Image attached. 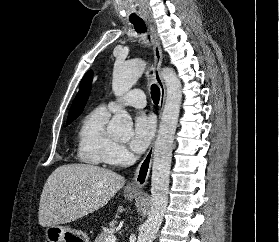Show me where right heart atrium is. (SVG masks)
<instances>
[{
    "label": "right heart atrium",
    "instance_id": "right-heart-atrium-1",
    "mask_svg": "<svg viewBox=\"0 0 279 242\" xmlns=\"http://www.w3.org/2000/svg\"><path fill=\"white\" fill-rule=\"evenodd\" d=\"M130 159V154L127 149L121 145L116 144L109 158L110 164L121 165L125 164Z\"/></svg>",
    "mask_w": 279,
    "mask_h": 242
}]
</instances>
